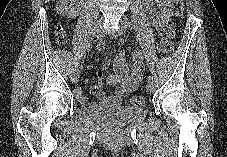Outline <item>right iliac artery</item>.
<instances>
[{
    "instance_id": "1",
    "label": "right iliac artery",
    "mask_w": 227,
    "mask_h": 157,
    "mask_svg": "<svg viewBox=\"0 0 227 157\" xmlns=\"http://www.w3.org/2000/svg\"><path fill=\"white\" fill-rule=\"evenodd\" d=\"M93 41H94V46L96 47L97 50H102V45H99V38L98 36H93ZM79 57V56H78ZM73 70H78L79 68V61L78 59L77 60H74L73 61Z\"/></svg>"
}]
</instances>
